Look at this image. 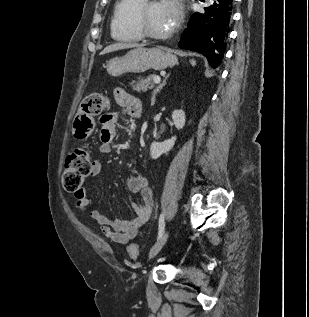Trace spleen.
<instances>
[{
    "label": "spleen",
    "mask_w": 309,
    "mask_h": 317,
    "mask_svg": "<svg viewBox=\"0 0 309 317\" xmlns=\"http://www.w3.org/2000/svg\"><path fill=\"white\" fill-rule=\"evenodd\" d=\"M190 63L192 66H194L196 64V62L194 60H191Z\"/></svg>",
    "instance_id": "spleen-1"
}]
</instances>
